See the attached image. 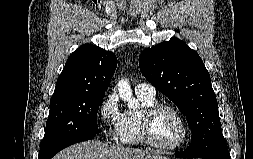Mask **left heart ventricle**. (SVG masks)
I'll use <instances>...</instances> for the list:
<instances>
[{
	"instance_id": "obj_1",
	"label": "left heart ventricle",
	"mask_w": 253,
	"mask_h": 159,
	"mask_svg": "<svg viewBox=\"0 0 253 159\" xmlns=\"http://www.w3.org/2000/svg\"><path fill=\"white\" fill-rule=\"evenodd\" d=\"M152 135L154 140L162 146L175 144L181 136L182 125L170 110H161L153 118Z\"/></svg>"
}]
</instances>
